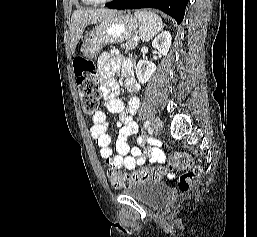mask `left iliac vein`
<instances>
[{
  "instance_id": "4c4485c4",
  "label": "left iliac vein",
  "mask_w": 257,
  "mask_h": 237,
  "mask_svg": "<svg viewBox=\"0 0 257 237\" xmlns=\"http://www.w3.org/2000/svg\"><path fill=\"white\" fill-rule=\"evenodd\" d=\"M162 128H163V123H162V121H161L159 118L155 119L154 122H153V124H152L153 132H154L155 134H158V133L161 132Z\"/></svg>"
}]
</instances>
